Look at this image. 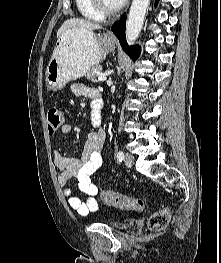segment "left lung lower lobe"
I'll return each instance as SVG.
<instances>
[{
  "label": "left lung lower lobe",
  "instance_id": "1",
  "mask_svg": "<svg viewBox=\"0 0 221 263\" xmlns=\"http://www.w3.org/2000/svg\"><path fill=\"white\" fill-rule=\"evenodd\" d=\"M159 0L155 1V5H157ZM125 27H126V15L114 23L111 27L113 33L118 37L119 42L122 48L127 52V54L133 59L136 60L140 54V48L138 46L128 47L126 43V36H125Z\"/></svg>",
  "mask_w": 221,
  "mask_h": 263
}]
</instances>
